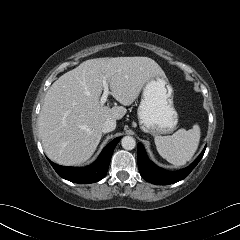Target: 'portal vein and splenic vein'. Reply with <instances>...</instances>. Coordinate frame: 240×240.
Returning a JSON list of instances; mask_svg holds the SVG:
<instances>
[{"instance_id":"obj_1","label":"portal vein and splenic vein","mask_w":240,"mask_h":240,"mask_svg":"<svg viewBox=\"0 0 240 240\" xmlns=\"http://www.w3.org/2000/svg\"><path fill=\"white\" fill-rule=\"evenodd\" d=\"M102 84H103L104 92H103V94H102V96L100 98V104L104 105L106 103L107 97H108V95L110 93L109 92V88H108L109 87L108 86V82H107L106 78L103 79Z\"/></svg>"}]
</instances>
